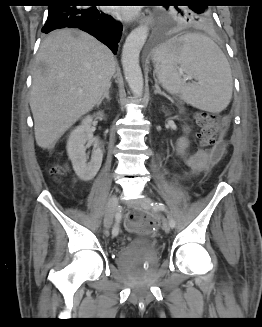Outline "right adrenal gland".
Wrapping results in <instances>:
<instances>
[{
    "label": "right adrenal gland",
    "instance_id": "2a0ac1e0",
    "mask_svg": "<svg viewBox=\"0 0 262 327\" xmlns=\"http://www.w3.org/2000/svg\"><path fill=\"white\" fill-rule=\"evenodd\" d=\"M110 88H111V82L109 83L104 95L102 96V98L98 102L97 106H99L104 101V99H106L107 101H110V96H109Z\"/></svg>",
    "mask_w": 262,
    "mask_h": 327
}]
</instances>
